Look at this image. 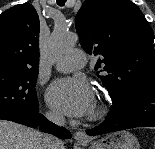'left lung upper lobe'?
Returning a JSON list of instances; mask_svg holds the SVG:
<instances>
[{"mask_svg": "<svg viewBox=\"0 0 155 149\" xmlns=\"http://www.w3.org/2000/svg\"><path fill=\"white\" fill-rule=\"evenodd\" d=\"M79 41L101 55L95 69L112 98L140 84L155 83L154 33L129 0H85L76 19Z\"/></svg>", "mask_w": 155, "mask_h": 149, "instance_id": "1", "label": "left lung upper lobe"}]
</instances>
